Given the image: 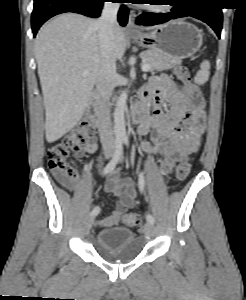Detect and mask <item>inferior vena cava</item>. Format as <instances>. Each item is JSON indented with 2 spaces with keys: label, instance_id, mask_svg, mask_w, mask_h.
I'll return each instance as SVG.
<instances>
[{
  "label": "inferior vena cava",
  "instance_id": "inferior-vena-cava-1",
  "mask_svg": "<svg viewBox=\"0 0 246 300\" xmlns=\"http://www.w3.org/2000/svg\"><path fill=\"white\" fill-rule=\"evenodd\" d=\"M119 3L105 2L102 14L95 25L98 28V39L103 64L97 78V90L101 96L98 113L99 136L104 152L111 153L115 149V137L111 128L109 100L115 87L116 61L112 56L114 47V27L117 21Z\"/></svg>",
  "mask_w": 246,
  "mask_h": 300
}]
</instances>
